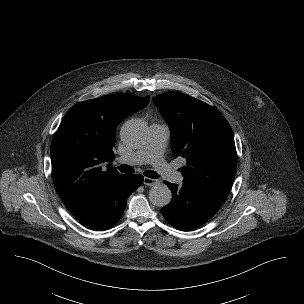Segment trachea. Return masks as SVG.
<instances>
[{"label":"trachea","instance_id":"trachea-1","mask_svg":"<svg viewBox=\"0 0 304 304\" xmlns=\"http://www.w3.org/2000/svg\"><path fill=\"white\" fill-rule=\"evenodd\" d=\"M119 171L122 173H134V168L132 166L123 164L118 167ZM144 175L148 178L156 179L158 178V174L155 171L152 170H146L144 171Z\"/></svg>","mask_w":304,"mask_h":304}]
</instances>
